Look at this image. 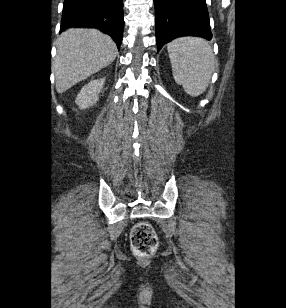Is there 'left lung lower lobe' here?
<instances>
[{
    "instance_id": "0a47b994",
    "label": "left lung lower lobe",
    "mask_w": 286,
    "mask_h": 308,
    "mask_svg": "<svg viewBox=\"0 0 286 308\" xmlns=\"http://www.w3.org/2000/svg\"><path fill=\"white\" fill-rule=\"evenodd\" d=\"M154 5L158 51L177 37L212 38L206 0H154Z\"/></svg>"
}]
</instances>
